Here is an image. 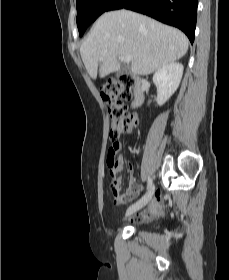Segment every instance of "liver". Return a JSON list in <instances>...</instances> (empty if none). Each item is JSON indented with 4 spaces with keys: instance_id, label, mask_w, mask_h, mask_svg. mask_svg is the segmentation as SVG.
I'll return each instance as SVG.
<instances>
[{
    "instance_id": "6515ba94",
    "label": "liver",
    "mask_w": 229,
    "mask_h": 280,
    "mask_svg": "<svg viewBox=\"0 0 229 280\" xmlns=\"http://www.w3.org/2000/svg\"><path fill=\"white\" fill-rule=\"evenodd\" d=\"M189 41L184 33L128 10L101 15L85 37L80 54L92 79L120 70L119 56H131V71L146 76L182 58Z\"/></svg>"
}]
</instances>
